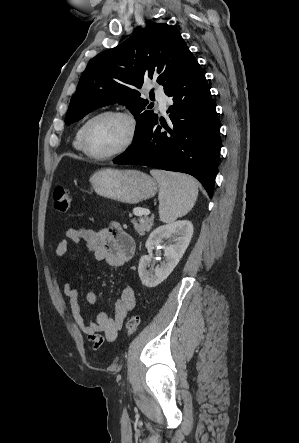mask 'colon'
Instances as JSON below:
<instances>
[{
  "mask_svg": "<svg viewBox=\"0 0 299 443\" xmlns=\"http://www.w3.org/2000/svg\"><path fill=\"white\" fill-rule=\"evenodd\" d=\"M54 208L60 213H68L71 208V197L66 186L57 185L53 192ZM140 318L137 315H131L126 322V331L132 335L138 329Z\"/></svg>",
  "mask_w": 299,
  "mask_h": 443,
  "instance_id": "5ec220e1",
  "label": "colon"
}]
</instances>
